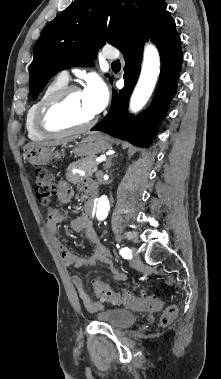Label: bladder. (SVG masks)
<instances>
[{
  "label": "bladder",
  "mask_w": 221,
  "mask_h": 379,
  "mask_svg": "<svg viewBox=\"0 0 221 379\" xmlns=\"http://www.w3.org/2000/svg\"><path fill=\"white\" fill-rule=\"evenodd\" d=\"M96 319L113 328L125 329L135 323L136 316L131 311L123 308H111L97 313Z\"/></svg>",
  "instance_id": "obj_1"
}]
</instances>
